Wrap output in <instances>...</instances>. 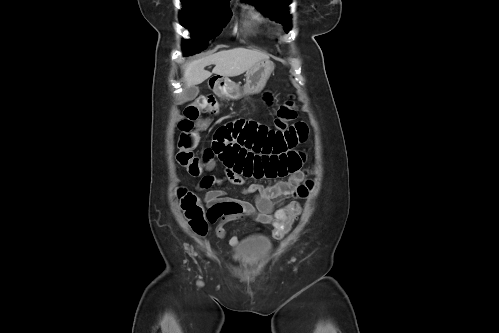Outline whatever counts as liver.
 I'll return each mask as SVG.
<instances>
[{
  "instance_id": "6515ba94",
  "label": "liver",
  "mask_w": 499,
  "mask_h": 333,
  "mask_svg": "<svg viewBox=\"0 0 499 333\" xmlns=\"http://www.w3.org/2000/svg\"><path fill=\"white\" fill-rule=\"evenodd\" d=\"M262 60H269V56L258 50L245 48L222 50L187 62L183 67V80L188 88L201 84L212 74L223 77L239 76ZM211 64L215 65L212 73L205 70V67Z\"/></svg>"
}]
</instances>
